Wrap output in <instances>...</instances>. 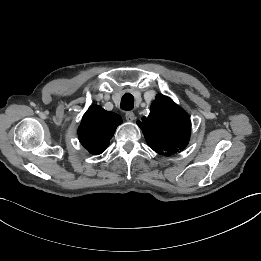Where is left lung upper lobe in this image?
I'll use <instances>...</instances> for the list:
<instances>
[{
    "label": "left lung upper lobe",
    "instance_id": "left-lung-upper-lobe-1",
    "mask_svg": "<svg viewBox=\"0 0 261 261\" xmlns=\"http://www.w3.org/2000/svg\"><path fill=\"white\" fill-rule=\"evenodd\" d=\"M147 144L157 153L172 155L189 141L191 121L187 113L164 95H157L147 118L138 121Z\"/></svg>",
    "mask_w": 261,
    "mask_h": 261
}]
</instances>
